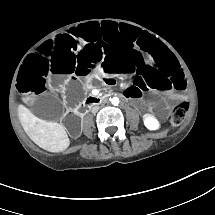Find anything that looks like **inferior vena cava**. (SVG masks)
I'll use <instances>...</instances> for the list:
<instances>
[{
    "label": "inferior vena cava",
    "mask_w": 215,
    "mask_h": 215,
    "mask_svg": "<svg viewBox=\"0 0 215 215\" xmlns=\"http://www.w3.org/2000/svg\"><path fill=\"white\" fill-rule=\"evenodd\" d=\"M99 109H100L99 106H93V107L91 108V112H92L93 114H95V113L98 112Z\"/></svg>",
    "instance_id": "1"
}]
</instances>
